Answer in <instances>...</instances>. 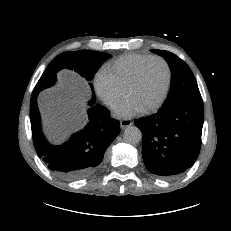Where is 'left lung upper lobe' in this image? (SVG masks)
Segmentation results:
<instances>
[{
  "instance_id": "obj_1",
  "label": "left lung upper lobe",
  "mask_w": 231,
  "mask_h": 231,
  "mask_svg": "<svg viewBox=\"0 0 231 231\" xmlns=\"http://www.w3.org/2000/svg\"><path fill=\"white\" fill-rule=\"evenodd\" d=\"M162 56L171 68V85L168 97L160 109H168L188 97H201L196 79L189 66L175 54L164 50H151Z\"/></svg>"
}]
</instances>
